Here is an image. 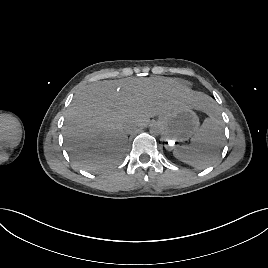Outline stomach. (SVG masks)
<instances>
[{"label":"stomach","mask_w":268,"mask_h":268,"mask_svg":"<svg viewBox=\"0 0 268 268\" xmlns=\"http://www.w3.org/2000/svg\"><path fill=\"white\" fill-rule=\"evenodd\" d=\"M166 140L183 142L191 138L199 127V118L190 107H183L162 115L158 120Z\"/></svg>","instance_id":"0dacf381"}]
</instances>
